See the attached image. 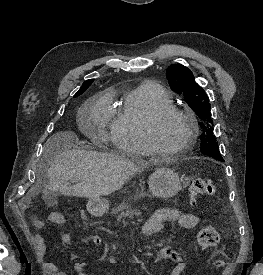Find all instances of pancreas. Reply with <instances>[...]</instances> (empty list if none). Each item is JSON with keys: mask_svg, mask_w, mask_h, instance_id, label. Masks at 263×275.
Instances as JSON below:
<instances>
[{"mask_svg": "<svg viewBox=\"0 0 263 275\" xmlns=\"http://www.w3.org/2000/svg\"><path fill=\"white\" fill-rule=\"evenodd\" d=\"M144 196V193H139L137 195L134 196V199L137 200L138 197H142ZM129 200L130 198H128V200L124 201L122 204H120L117 208H116V212H121L120 215H118V219L121 218H133L134 216H140L141 212L132 209L131 205L129 204Z\"/></svg>", "mask_w": 263, "mask_h": 275, "instance_id": "1", "label": "pancreas"}]
</instances>
